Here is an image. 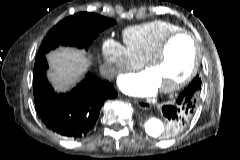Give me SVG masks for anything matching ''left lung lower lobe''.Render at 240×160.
Wrapping results in <instances>:
<instances>
[{"instance_id": "0a47b994", "label": "left lung lower lobe", "mask_w": 240, "mask_h": 160, "mask_svg": "<svg viewBox=\"0 0 240 160\" xmlns=\"http://www.w3.org/2000/svg\"><path fill=\"white\" fill-rule=\"evenodd\" d=\"M195 87L194 84H190L178 95L172 104L162 107L163 115L168 121L173 123V125L188 123V120L193 116L198 100V91ZM168 130L169 133H171L170 128H168ZM176 132L178 131L172 132V134Z\"/></svg>"}]
</instances>
